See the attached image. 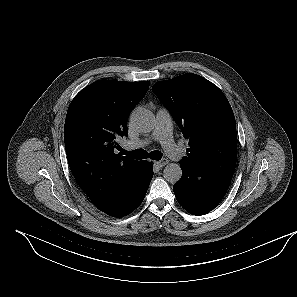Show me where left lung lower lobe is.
<instances>
[{
  "label": "left lung lower lobe",
  "instance_id": "obj_1",
  "mask_svg": "<svg viewBox=\"0 0 297 297\" xmlns=\"http://www.w3.org/2000/svg\"><path fill=\"white\" fill-rule=\"evenodd\" d=\"M182 167V178L173 186L179 204L193 215H204L216 208L225 196L230 182L211 184L209 187L194 184V174Z\"/></svg>",
  "mask_w": 297,
  "mask_h": 297
}]
</instances>
